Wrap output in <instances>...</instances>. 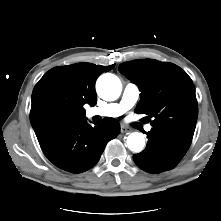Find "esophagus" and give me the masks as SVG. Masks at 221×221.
Listing matches in <instances>:
<instances>
[{
    "mask_svg": "<svg viewBox=\"0 0 221 221\" xmlns=\"http://www.w3.org/2000/svg\"><path fill=\"white\" fill-rule=\"evenodd\" d=\"M131 129L125 125H121V133H127L130 132Z\"/></svg>",
    "mask_w": 221,
    "mask_h": 221,
    "instance_id": "esophagus-1",
    "label": "esophagus"
}]
</instances>
